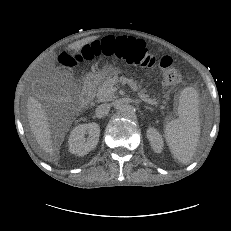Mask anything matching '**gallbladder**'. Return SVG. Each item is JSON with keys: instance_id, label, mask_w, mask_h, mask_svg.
<instances>
[{"instance_id": "1", "label": "gallbladder", "mask_w": 231, "mask_h": 231, "mask_svg": "<svg viewBox=\"0 0 231 231\" xmlns=\"http://www.w3.org/2000/svg\"><path fill=\"white\" fill-rule=\"evenodd\" d=\"M71 80L67 72L53 73L49 82H42L38 85V93L47 99H56L61 95V88Z\"/></svg>"}]
</instances>
